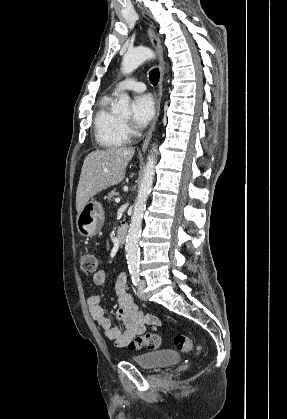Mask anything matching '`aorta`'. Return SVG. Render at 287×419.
I'll return each mask as SVG.
<instances>
[{
    "mask_svg": "<svg viewBox=\"0 0 287 419\" xmlns=\"http://www.w3.org/2000/svg\"><path fill=\"white\" fill-rule=\"evenodd\" d=\"M155 57L154 52L147 47H137L128 50L122 59L121 70L124 74H130L137 67L148 59ZM130 97L126 93L120 95L119 101L114 106V112L122 115H130L129 108ZM157 148L153 145L148 156L143 179L141 181L139 192L135 200L131 223L126 237V259L128 268L131 271L139 269L140 249L139 239L141 235L143 213L146 208V202L152 189L155 167H156Z\"/></svg>",
    "mask_w": 287,
    "mask_h": 419,
    "instance_id": "1",
    "label": "aorta"
}]
</instances>
